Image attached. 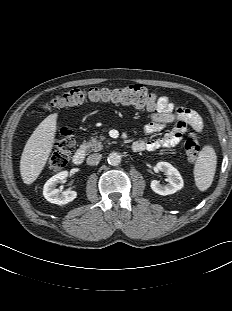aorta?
<instances>
[{
	"label": "aorta",
	"mask_w": 232,
	"mask_h": 311,
	"mask_svg": "<svg viewBox=\"0 0 232 311\" xmlns=\"http://www.w3.org/2000/svg\"><path fill=\"white\" fill-rule=\"evenodd\" d=\"M108 163L112 166H117L120 164L121 162V155H119L118 153L116 152H112L109 154L108 156Z\"/></svg>",
	"instance_id": "obj_1"
}]
</instances>
